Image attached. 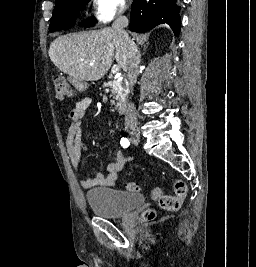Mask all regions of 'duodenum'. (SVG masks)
Masks as SVG:
<instances>
[{"instance_id": "410a0bca", "label": "duodenum", "mask_w": 256, "mask_h": 267, "mask_svg": "<svg viewBox=\"0 0 256 267\" xmlns=\"http://www.w3.org/2000/svg\"><path fill=\"white\" fill-rule=\"evenodd\" d=\"M70 82L73 84L74 88H77V90H86L88 86V82L96 83V78L87 79V81H84L82 78L77 77H70ZM118 106V112L121 115H125L128 110V102L126 100H120L117 104Z\"/></svg>"}]
</instances>
